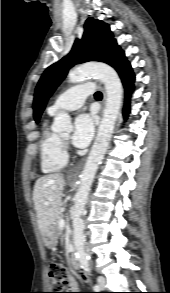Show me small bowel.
<instances>
[{"mask_svg":"<svg viewBox=\"0 0 170 293\" xmlns=\"http://www.w3.org/2000/svg\"><path fill=\"white\" fill-rule=\"evenodd\" d=\"M84 276V275H83ZM71 285L73 286V287H76V282H75V280L74 279H71Z\"/></svg>","mask_w":170,"mask_h":293,"instance_id":"small-bowel-1","label":"small bowel"}]
</instances>
